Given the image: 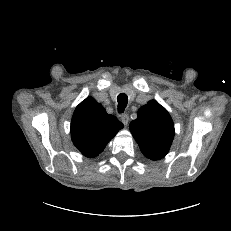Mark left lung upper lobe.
Here are the masks:
<instances>
[{
	"mask_svg": "<svg viewBox=\"0 0 231 231\" xmlns=\"http://www.w3.org/2000/svg\"><path fill=\"white\" fill-rule=\"evenodd\" d=\"M129 128L143 155L151 160H160L168 153L175 134L171 116L156 100L139 109Z\"/></svg>",
	"mask_w": 231,
	"mask_h": 231,
	"instance_id": "obj_1",
	"label": "left lung upper lobe"
}]
</instances>
